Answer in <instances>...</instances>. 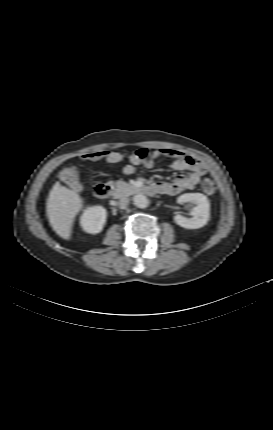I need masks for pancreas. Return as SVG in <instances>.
Here are the masks:
<instances>
[{
  "instance_id": "pancreas-1",
  "label": "pancreas",
  "mask_w": 273,
  "mask_h": 430,
  "mask_svg": "<svg viewBox=\"0 0 273 430\" xmlns=\"http://www.w3.org/2000/svg\"><path fill=\"white\" fill-rule=\"evenodd\" d=\"M114 186V198H121L132 194L134 187L124 181L110 182Z\"/></svg>"
}]
</instances>
